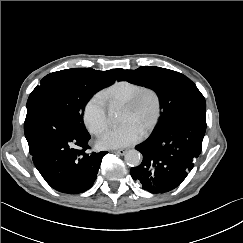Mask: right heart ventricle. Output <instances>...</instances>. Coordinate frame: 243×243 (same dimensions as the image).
I'll return each mask as SVG.
<instances>
[{
    "label": "right heart ventricle",
    "instance_id": "right-heart-ventricle-1",
    "mask_svg": "<svg viewBox=\"0 0 243 243\" xmlns=\"http://www.w3.org/2000/svg\"><path fill=\"white\" fill-rule=\"evenodd\" d=\"M142 87L143 86L141 84L132 81L120 80L114 82L109 87H107L102 92V95L106 102L110 104L124 105Z\"/></svg>",
    "mask_w": 243,
    "mask_h": 243
}]
</instances>
